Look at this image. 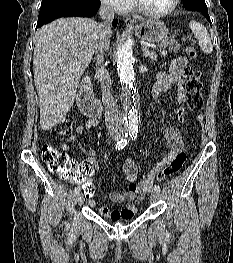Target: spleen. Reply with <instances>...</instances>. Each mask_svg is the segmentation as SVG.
<instances>
[{
	"label": "spleen",
	"mask_w": 233,
	"mask_h": 263,
	"mask_svg": "<svg viewBox=\"0 0 233 263\" xmlns=\"http://www.w3.org/2000/svg\"><path fill=\"white\" fill-rule=\"evenodd\" d=\"M189 26L198 40L202 51L206 54H210L213 51V46L207 29L201 23L194 20L190 21Z\"/></svg>",
	"instance_id": "obj_1"
}]
</instances>
